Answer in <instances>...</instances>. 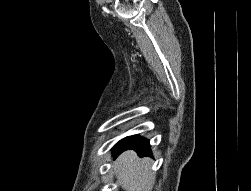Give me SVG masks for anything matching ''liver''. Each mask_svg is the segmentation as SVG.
<instances>
[{
  "instance_id": "liver-1",
  "label": "liver",
  "mask_w": 251,
  "mask_h": 191,
  "mask_svg": "<svg viewBox=\"0 0 251 191\" xmlns=\"http://www.w3.org/2000/svg\"><path fill=\"white\" fill-rule=\"evenodd\" d=\"M149 157H138L136 151H123L115 161L114 173L126 191H143L153 181Z\"/></svg>"
}]
</instances>
